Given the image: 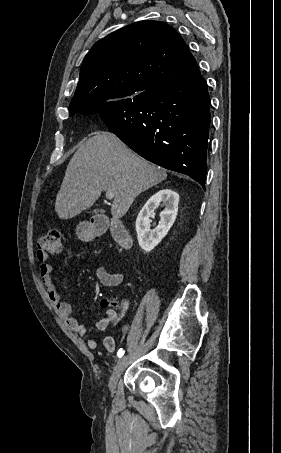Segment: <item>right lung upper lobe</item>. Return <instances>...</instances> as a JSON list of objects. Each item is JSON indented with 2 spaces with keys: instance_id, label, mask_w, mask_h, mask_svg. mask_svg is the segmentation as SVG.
I'll return each instance as SVG.
<instances>
[{
  "instance_id": "cb5924a9",
  "label": "right lung upper lobe",
  "mask_w": 281,
  "mask_h": 453,
  "mask_svg": "<svg viewBox=\"0 0 281 453\" xmlns=\"http://www.w3.org/2000/svg\"><path fill=\"white\" fill-rule=\"evenodd\" d=\"M196 60L180 34L160 21H141L101 39L85 56L70 115L130 101L187 73Z\"/></svg>"
}]
</instances>
